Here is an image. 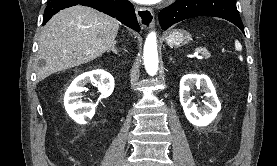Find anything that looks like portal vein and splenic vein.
<instances>
[{"instance_id":"portal-vein-and-splenic-vein-1","label":"portal vein and splenic vein","mask_w":277,"mask_h":166,"mask_svg":"<svg viewBox=\"0 0 277 166\" xmlns=\"http://www.w3.org/2000/svg\"><path fill=\"white\" fill-rule=\"evenodd\" d=\"M199 52V51H198ZM198 52L194 53V57L196 58H209L210 57V54L209 53H206V54H202V56L198 55Z\"/></svg>"}]
</instances>
